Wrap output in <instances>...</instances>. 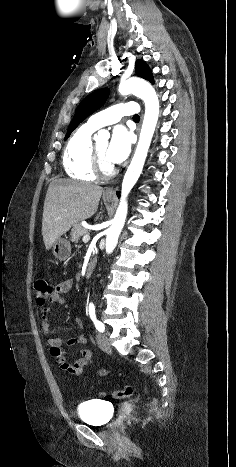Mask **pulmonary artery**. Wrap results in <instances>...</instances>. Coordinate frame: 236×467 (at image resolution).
<instances>
[{"instance_id": "pulmonary-artery-1", "label": "pulmonary artery", "mask_w": 236, "mask_h": 467, "mask_svg": "<svg viewBox=\"0 0 236 467\" xmlns=\"http://www.w3.org/2000/svg\"><path fill=\"white\" fill-rule=\"evenodd\" d=\"M138 108L134 103H120L113 105L92 115L86 125L93 129H99L105 125L118 122L123 116H133Z\"/></svg>"}]
</instances>
